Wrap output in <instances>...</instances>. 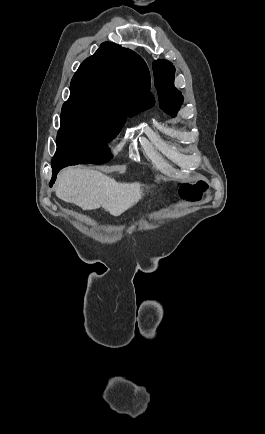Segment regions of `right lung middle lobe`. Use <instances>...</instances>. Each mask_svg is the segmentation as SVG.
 <instances>
[{
	"label": "right lung middle lobe",
	"mask_w": 265,
	"mask_h": 434,
	"mask_svg": "<svg viewBox=\"0 0 265 434\" xmlns=\"http://www.w3.org/2000/svg\"><path fill=\"white\" fill-rule=\"evenodd\" d=\"M146 109L112 100L95 89L70 88V97L62 107L52 168L107 162L112 158L107 142L118 134L127 116Z\"/></svg>",
	"instance_id": "obj_1"
}]
</instances>
